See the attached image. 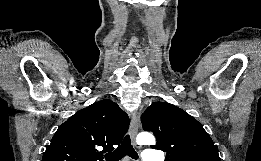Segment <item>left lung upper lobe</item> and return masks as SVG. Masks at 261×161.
Instances as JSON below:
<instances>
[{
	"label": "left lung upper lobe",
	"instance_id": "1",
	"mask_svg": "<svg viewBox=\"0 0 261 161\" xmlns=\"http://www.w3.org/2000/svg\"><path fill=\"white\" fill-rule=\"evenodd\" d=\"M141 121L143 129L156 136L152 148L167 152L166 161H221L218 147L203 126L175 105L154 102Z\"/></svg>",
	"mask_w": 261,
	"mask_h": 161
}]
</instances>
